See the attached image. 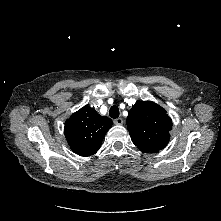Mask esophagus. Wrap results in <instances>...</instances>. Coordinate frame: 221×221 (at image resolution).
<instances>
[{"mask_svg":"<svg viewBox=\"0 0 221 221\" xmlns=\"http://www.w3.org/2000/svg\"><path fill=\"white\" fill-rule=\"evenodd\" d=\"M123 119L121 118V117H119V118H117V119H115L114 120V123L116 124V125H122L123 124Z\"/></svg>","mask_w":221,"mask_h":221,"instance_id":"esophagus-1","label":"esophagus"}]
</instances>
